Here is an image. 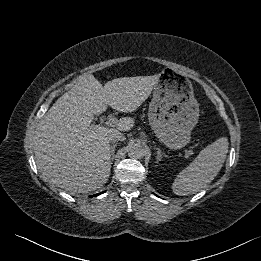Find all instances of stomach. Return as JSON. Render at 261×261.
Segmentation results:
<instances>
[{"mask_svg":"<svg viewBox=\"0 0 261 261\" xmlns=\"http://www.w3.org/2000/svg\"><path fill=\"white\" fill-rule=\"evenodd\" d=\"M159 76L149 105V123L166 146L181 149L189 143L198 122L199 104L188 78L172 68H165Z\"/></svg>","mask_w":261,"mask_h":261,"instance_id":"0dacf381","label":"stomach"}]
</instances>
